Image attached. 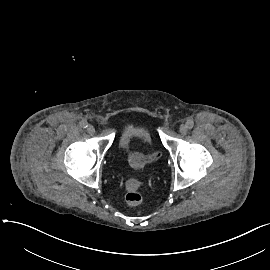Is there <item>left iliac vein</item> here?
I'll return each instance as SVG.
<instances>
[{
    "label": "left iliac vein",
    "mask_w": 270,
    "mask_h": 270,
    "mask_svg": "<svg viewBox=\"0 0 270 270\" xmlns=\"http://www.w3.org/2000/svg\"><path fill=\"white\" fill-rule=\"evenodd\" d=\"M179 131L182 135H185L188 131V128L185 124H181L180 127H179Z\"/></svg>",
    "instance_id": "obj_1"
}]
</instances>
